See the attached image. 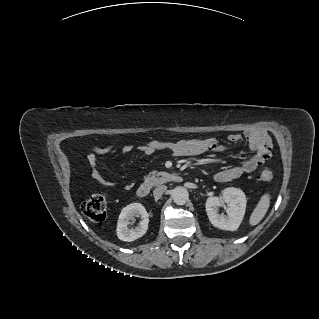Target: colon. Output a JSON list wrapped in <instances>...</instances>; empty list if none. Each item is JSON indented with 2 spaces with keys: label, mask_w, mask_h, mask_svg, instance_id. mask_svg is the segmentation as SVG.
Segmentation results:
<instances>
[{
  "label": "colon",
  "mask_w": 319,
  "mask_h": 319,
  "mask_svg": "<svg viewBox=\"0 0 319 319\" xmlns=\"http://www.w3.org/2000/svg\"><path fill=\"white\" fill-rule=\"evenodd\" d=\"M259 152L266 158L271 155L270 141L264 142L259 148ZM261 179L264 181H272L274 174L270 170H263L261 172ZM82 212L92 221H103L107 214V201L102 194H93L86 199L82 204Z\"/></svg>",
  "instance_id": "colon-1"
}]
</instances>
